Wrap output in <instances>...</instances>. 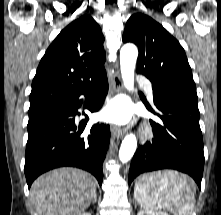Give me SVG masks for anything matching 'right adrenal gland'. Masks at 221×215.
Here are the masks:
<instances>
[{"label": "right adrenal gland", "instance_id": "obj_1", "mask_svg": "<svg viewBox=\"0 0 221 215\" xmlns=\"http://www.w3.org/2000/svg\"><path fill=\"white\" fill-rule=\"evenodd\" d=\"M96 202H97V194L95 193L94 199H93V202H92V203L94 204V203H96Z\"/></svg>", "mask_w": 221, "mask_h": 215}]
</instances>
